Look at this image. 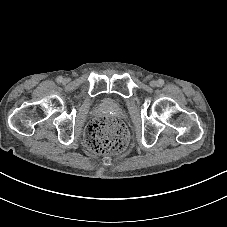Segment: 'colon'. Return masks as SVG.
Wrapping results in <instances>:
<instances>
[{"instance_id":"5ec220e1","label":"colon","mask_w":227,"mask_h":227,"mask_svg":"<svg viewBox=\"0 0 227 227\" xmlns=\"http://www.w3.org/2000/svg\"><path fill=\"white\" fill-rule=\"evenodd\" d=\"M128 142L125 125L113 118L99 116L92 120L85 131V144L88 149L99 154L122 152Z\"/></svg>"}]
</instances>
